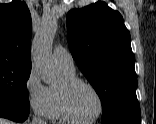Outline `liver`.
Here are the masks:
<instances>
[{
	"label": "liver",
	"mask_w": 156,
	"mask_h": 124,
	"mask_svg": "<svg viewBox=\"0 0 156 124\" xmlns=\"http://www.w3.org/2000/svg\"><path fill=\"white\" fill-rule=\"evenodd\" d=\"M0 124H13V123L11 121L0 118Z\"/></svg>",
	"instance_id": "6515ba94"
}]
</instances>
